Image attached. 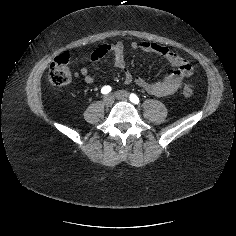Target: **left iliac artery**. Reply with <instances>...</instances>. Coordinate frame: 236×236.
<instances>
[{"label":"left iliac artery","mask_w":236,"mask_h":236,"mask_svg":"<svg viewBox=\"0 0 236 236\" xmlns=\"http://www.w3.org/2000/svg\"><path fill=\"white\" fill-rule=\"evenodd\" d=\"M129 98H130V101L135 103V104H138L140 102L138 96L134 93L130 94Z\"/></svg>","instance_id":"44dca946"}]
</instances>
